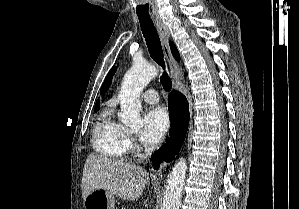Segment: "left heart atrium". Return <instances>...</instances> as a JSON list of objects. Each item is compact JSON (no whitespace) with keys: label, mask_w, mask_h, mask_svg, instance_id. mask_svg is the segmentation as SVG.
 <instances>
[{"label":"left heart atrium","mask_w":299,"mask_h":209,"mask_svg":"<svg viewBox=\"0 0 299 209\" xmlns=\"http://www.w3.org/2000/svg\"><path fill=\"white\" fill-rule=\"evenodd\" d=\"M144 127L140 139L145 145L157 144L169 127V117L165 109L156 107L150 109L144 116Z\"/></svg>","instance_id":"obj_1"}]
</instances>
